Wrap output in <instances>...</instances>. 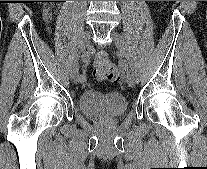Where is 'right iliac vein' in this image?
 Masks as SVG:
<instances>
[{"label": "right iliac vein", "mask_w": 207, "mask_h": 169, "mask_svg": "<svg viewBox=\"0 0 207 169\" xmlns=\"http://www.w3.org/2000/svg\"><path fill=\"white\" fill-rule=\"evenodd\" d=\"M90 37H91V32L89 30H86L83 33L82 38H81L80 52H84L86 50V48L89 45ZM70 78L74 83L79 82L78 81V64L77 63H74L73 66L71 67Z\"/></svg>", "instance_id": "obj_1"}]
</instances>
